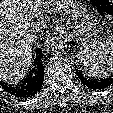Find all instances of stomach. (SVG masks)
<instances>
[{
  "instance_id": "obj_1",
  "label": "stomach",
  "mask_w": 113,
  "mask_h": 113,
  "mask_svg": "<svg viewBox=\"0 0 113 113\" xmlns=\"http://www.w3.org/2000/svg\"><path fill=\"white\" fill-rule=\"evenodd\" d=\"M71 23L80 50L97 44L100 21L86 6L72 3Z\"/></svg>"
}]
</instances>
